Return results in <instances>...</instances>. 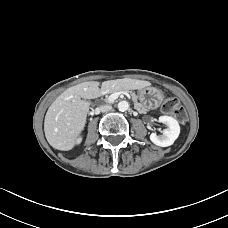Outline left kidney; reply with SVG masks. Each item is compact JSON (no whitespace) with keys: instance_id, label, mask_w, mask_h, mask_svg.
<instances>
[{"instance_id":"5707ae66","label":"left kidney","mask_w":228,"mask_h":228,"mask_svg":"<svg viewBox=\"0 0 228 228\" xmlns=\"http://www.w3.org/2000/svg\"><path fill=\"white\" fill-rule=\"evenodd\" d=\"M159 122L165 124L167 129L162 131V135L151 133L150 140L157 146H171L180 134V126L176 119L170 116H160Z\"/></svg>"}]
</instances>
